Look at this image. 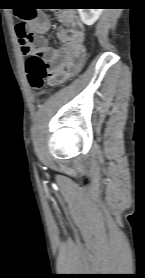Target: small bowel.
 Returning a JSON list of instances; mask_svg holds the SVG:
<instances>
[{"mask_svg":"<svg viewBox=\"0 0 145 278\" xmlns=\"http://www.w3.org/2000/svg\"><path fill=\"white\" fill-rule=\"evenodd\" d=\"M16 13L21 17L19 11ZM57 17L62 23L56 32V38L61 45L60 49H53L44 36L51 28L47 16L40 15L24 23V26L32 31L35 38V46L31 48L30 52L41 55L50 64L51 81L57 80L66 67L79 71L86 60V51L83 47V23L74 12H58Z\"/></svg>","mask_w":145,"mask_h":278,"instance_id":"1","label":"small bowel"}]
</instances>
